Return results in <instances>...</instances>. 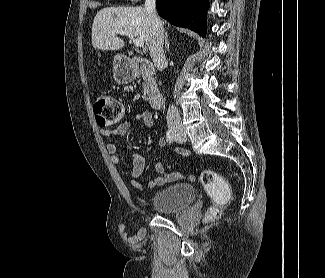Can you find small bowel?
I'll return each instance as SVG.
<instances>
[{
	"instance_id": "small-bowel-1",
	"label": "small bowel",
	"mask_w": 325,
	"mask_h": 278,
	"mask_svg": "<svg viewBox=\"0 0 325 278\" xmlns=\"http://www.w3.org/2000/svg\"><path fill=\"white\" fill-rule=\"evenodd\" d=\"M135 121L143 123L147 128H152L153 124H154L153 116L149 111H141V112L137 113L135 115ZM130 127H131L130 122L125 121L113 129H102L101 134L103 136H107V137H109V136H123L129 132ZM166 140L164 138H160L158 140V145L161 147H165L167 145ZM106 148H107V152L111 156L112 162L114 164H120L121 157L118 154V146L115 143H108ZM174 152L181 156L189 155V152L183 148H176V149H174ZM143 170H144L143 157L138 153H134L130 183L133 186V188H135L138 191H145L146 189H154L156 187L163 186L166 183L178 181L182 178V175L179 173H171V174L165 173L163 165L161 163H157L155 165V170L158 175L154 179L150 180L148 182L147 186L145 187L138 180V178L142 174Z\"/></svg>"
}]
</instances>
